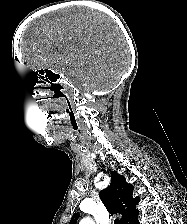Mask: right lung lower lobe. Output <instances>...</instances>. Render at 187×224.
Returning a JSON list of instances; mask_svg holds the SVG:
<instances>
[{"instance_id": "98d812e1", "label": "right lung lower lobe", "mask_w": 187, "mask_h": 224, "mask_svg": "<svg viewBox=\"0 0 187 224\" xmlns=\"http://www.w3.org/2000/svg\"><path fill=\"white\" fill-rule=\"evenodd\" d=\"M131 224H139L138 217Z\"/></svg>"}]
</instances>
